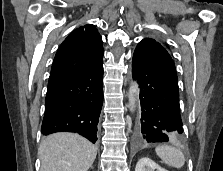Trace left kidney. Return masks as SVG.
Listing matches in <instances>:
<instances>
[{
  "label": "left kidney",
  "mask_w": 223,
  "mask_h": 171,
  "mask_svg": "<svg viewBox=\"0 0 223 171\" xmlns=\"http://www.w3.org/2000/svg\"><path fill=\"white\" fill-rule=\"evenodd\" d=\"M168 171L162 167H160L158 164H156L153 160L147 157L141 158L137 164L135 171Z\"/></svg>",
  "instance_id": "1"
}]
</instances>
